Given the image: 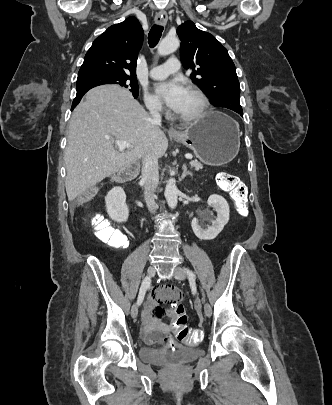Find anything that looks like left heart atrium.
I'll use <instances>...</instances> for the list:
<instances>
[{
  "mask_svg": "<svg viewBox=\"0 0 332 405\" xmlns=\"http://www.w3.org/2000/svg\"><path fill=\"white\" fill-rule=\"evenodd\" d=\"M186 89L178 80L156 84V95L172 110L176 111L184 97Z\"/></svg>",
  "mask_w": 332,
  "mask_h": 405,
  "instance_id": "1",
  "label": "left heart atrium"
}]
</instances>
